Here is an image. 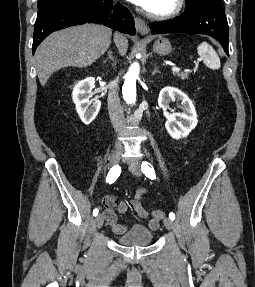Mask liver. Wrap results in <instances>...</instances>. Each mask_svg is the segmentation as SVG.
<instances>
[{
  "label": "liver",
  "mask_w": 255,
  "mask_h": 287,
  "mask_svg": "<svg viewBox=\"0 0 255 287\" xmlns=\"http://www.w3.org/2000/svg\"><path fill=\"white\" fill-rule=\"evenodd\" d=\"M112 32L105 26L84 24L54 32L48 36L35 54L37 74L41 86L50 76L66 66L87 68L105 54L111 44ZM114 42L121 56H125L128 40L122 34H114Z\"/></svg>",
  "instance_id": "6515ba94"
}]
</instances>
